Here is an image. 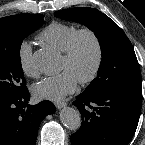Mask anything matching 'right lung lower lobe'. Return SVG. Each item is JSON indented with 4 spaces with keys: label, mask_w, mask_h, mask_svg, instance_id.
Here are the masks:
<instances>
[{
    "label": "right lung lower lobe",
    "mask_w": 145,
    "mask_h": 145,
    "mask_svg": "<svg viewBox=\"0 0 145 145\" xmlns=\"http://www.w3.org/2000/svg\"><path fill=\"white\" fill-rule=\"evenodd\" d=\"M28 90L16 96H0V145H35L41 121L55 112L50 101L28 105Z\"/></svg>",
    "instance_id": "98d812e1"
}]
</instances>
